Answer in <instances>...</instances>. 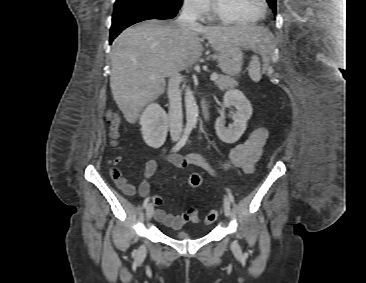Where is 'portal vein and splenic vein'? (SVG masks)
Listing matches in <instances>:
<instances>
[{
  "instance_id": "1",
  "label": "portal vein and splenic vein",
  "mask_w": 366,
  "mask_h": 283,
  "mask_svg": "<svg viewBox=\"0 0 366 283\" xmlns=\"http://www.w3.org/2000/svg\"><path fill=\"white\" fill-rule=\"evenodd\" d=\"M218 78H219V76H218V74H216V73H213V74L210 76V80H211V81H216Z\"/></svg>"
}]
</instances>
